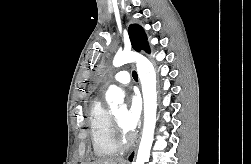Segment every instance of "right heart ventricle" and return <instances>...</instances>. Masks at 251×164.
I'll return each mask as SVG.
<instances>
[{
  "label": "right heart ventricle",
  "instance_id": "e07e8e85",
  "mask_svg": "<svg viewBox=\"0 0 251 164\" xmlns=\"http://www.w3.org/2000/svg\"><path fill=\"white\" fill-rule=\"evenodd\" d=\"M88 118L95 155L101 158L116 155L119 152V146L115 141L111 115L100 99H95L91 103Z\"/></svg>",
  "mask_w": 251,
  "mask_h": 164
}]
</instances>
